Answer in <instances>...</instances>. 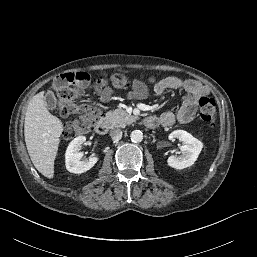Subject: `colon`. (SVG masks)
Segmentation results:
<instances>
[{
	"label": "colon",
	"mask_w": 257,
	"mask_h": 257,
	"mask_svg": "<svg viewBox=\"0 0 257 257\" xmlns=\"http://www.w3.org/2000/svg\"><path fill=\"white\" fill-rule=\"evenodd\" d=\"M155 82L154 77L149 78ZM110 82L116 87H124L129 79L119 73L105 75L101 83ZM91 87L90 75L86 72H68L59 75L53 84L58 96V108L62 116L77 114L78 117L69 121L63 129V136L72 139L78 135L88 133L100 121L102 112L100 108L91 103H83L79 99ZM200 117L203 121L214 125L216 119V101L211 96H202L199 99Z\"/></svg>",
	"instance_id": "obj_1"
}]
</instances>
